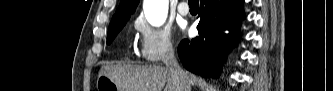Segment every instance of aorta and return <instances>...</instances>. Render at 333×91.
<instances>
[{
  "label": "aorta",
  "instance_id": "1",
  "mask_svg": "<svg viewBox=\"0 0 333 91\" xmlns=\"http://www.w3.org/2000/svg\"><path fill=\"white\" fill-rule=\"evenodd\" d=\"M144 13L153 26H161L168 13V0H144Z\"/></svg>",
  "mask_w": 333,
  "mask_h": 91
}]
</instances>
